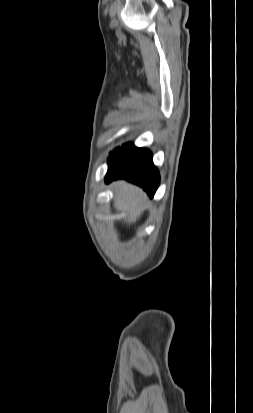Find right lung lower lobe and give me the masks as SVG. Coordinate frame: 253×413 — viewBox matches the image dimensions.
I'll list each match as a JSON object with an SVG mask.
<instances>
[{
  "mask_svg": "<svg viewBox=\"0 0 253 413\" xmlns=\"http://www.w3.org/2000/svg\"><path fill=\"white\" fill-rule=\"evenodd\" d=\"M105 177L107 183L116 179H126L141 186L153 197L160 182L159 172L152 162V154L134 145L112 156Z\"/></svg>",
  "mask_w": 253,
  "mask_h": 413,
  "instance_id": "right-lung-lower-lobe-1",
  "label": "right lung lower lobe"
}]
</instances>
